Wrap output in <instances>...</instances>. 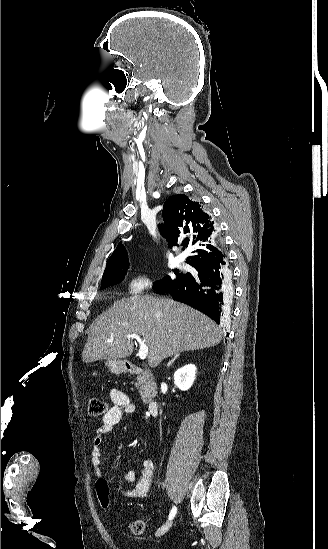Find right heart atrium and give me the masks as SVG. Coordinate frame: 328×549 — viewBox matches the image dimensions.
Returning a JSON list of instances; mask_svg holds the SVG:
<instances>
[{
  "instance_id": "d8ad5b80",
  "label": "right heart atrium",
  "mask_w": 328,
  "mask_h": 549,
  "mask_svg": "<svg viewBox=\"0 0 328 549\" xmlns=\"http://www.w3.org/2000/svg\"><path fill=\"white\" fill-rule=\"evenodd\" d=\"M152 286L153 276L149 266H142L131 271L124 282L126 303H138L141 295L150 290Z\"/></svg>"
}]
</instances>
